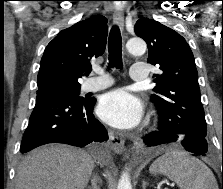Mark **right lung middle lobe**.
Instances as JSON below:
<instances>
[{
    "label": "right lung middle lobe",
    "instance_id": "right-lung-middle-lobe-1",
    "mask_svg": "<svg viewBox=\"0 0 223 189\" xmlns=\"http://www.w3.org/2000/svg\"><path fill=\"white\" fill-rule=\"evenodd\" d=\"M79 93H80V87L58 88L46 92L37 93V96H62V97L74 98L76 100H82L83 98H80Z\"/></svg>",
    "mask_w": 223,
    "mask_h": 189
}]
</instances>
